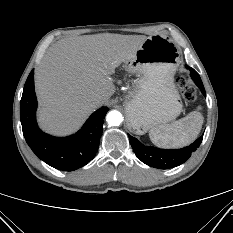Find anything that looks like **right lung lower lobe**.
<instances>
[{
  "label": "right lung lower lobe",
  "instance_id": "98d812e1",
  "mask_svg": "<svg viewBox=\"0 0 233 233\" xmlns=\"http://www.w3.org/2000/svg\"><path fill=\"white\" fill-rule=\"evenodd\" d=\"M37 100L34 90V70L26 80L20 104L23 135L32 151L48 165L62 171H73L86 165L97 153L103 119L109 110L95 111L76 134L58 138L43 133L37 126Z\"/></svg>",
  "mask_w": 233,
  "mask_h": 233
}]
</instances>
